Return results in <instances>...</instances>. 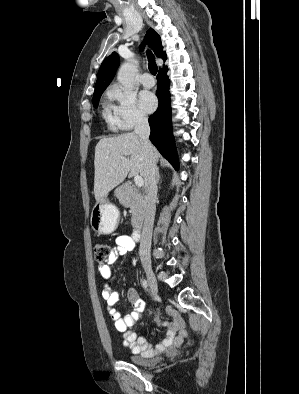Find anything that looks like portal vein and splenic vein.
Masks as SVG:
<instances>
[{
    "mask_svg": "<svg viewBox=\"0 0 299 394\" xmlns=\"http://www.w3.org/2000/svg\"><path fill=\"white\" fill-rule=\"evenodd\" d=\"M134 181H135V184H136L137 187H142L143 184H144L143 178L141 176H139V175H136L134 177Z\"/></svg>",
    "mask_w": 299,
    "mask_h": 394,
    "instance_id": "18ae733b",
    "label": "portal vein and splenic vein"
}]
</instances>
